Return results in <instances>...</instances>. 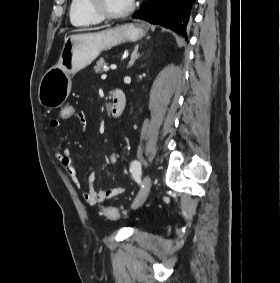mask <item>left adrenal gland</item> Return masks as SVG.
Masks as SVG:
<instances>
[{
	"instance_id": "a2214340",
	"label": "left adrenal gland",
	"mask_w": 280,
	"mask_h": 283,
	"mask_svg": "<svg viewBox=\"0 0 280 283\" xmlns=\"http://www.w3.org/2000/svg\"><path fill=\"white\" fill-rule=\"evenodd\" d=\"M138 49H139V45H136L131 54V59L128 67H131L134 64V62L140 57V54L138 53Z\"/></svg>"
}]
</instances>
